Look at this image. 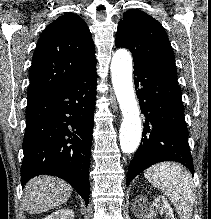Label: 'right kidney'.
Instances as JSON below:
<instances>
[{
    "instance_id": "ca27d5eb",
    "label": "right kidney",
    "mask_w": 211,
    "mask_h": 219,
    "mask_svg": "<svg viewBox=\"0 0 211 219\" xmlns=\"http://www.w3.org/2000/svg\"><path fill=\"white\" fill-rule=\"evenodd\" d=\"M44 219H74V212L70 209H60L48 215Z\"/></svg>"
}]
</instances>
